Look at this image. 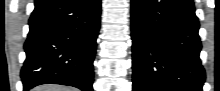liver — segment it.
Masks as SVG:
<instances>
[{
	"label": "liver",
	"mask_w": 220,
	"mask_h": 91,
	"mask_svg": "<svg viewBox=\"0 0 220 91\" xmlns=\"http://www.w3.org/2000/svg\"><path fill=\"white\" fill-rule=\"evenodd\" d=\"M33 91H76L72 88L57 85H42L34 88Z\"/></svg>",
	"instance_id": "6515ba94"
}]
</instances>
